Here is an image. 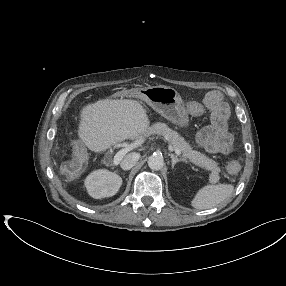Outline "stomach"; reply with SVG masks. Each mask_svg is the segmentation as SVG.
<instances>
[{"label":"stomach","instance_id":"0dacf381","mask_svg":"<svg viewBox=\"0 0 286 286\" xmlns=\"http://www.w3.org/2000/svg\"><path fill=\"white\" fill-rule=\"evenodd\" d=\"M137 95L173 124L179 127L189 125V117L184 102L174 88L162 85L149 86L140 88Z\"/></svg>","mask_w":286,"mask_h":286}]
</instances>
